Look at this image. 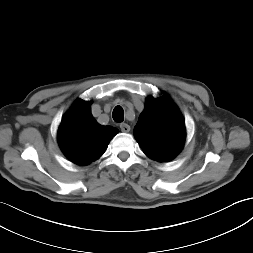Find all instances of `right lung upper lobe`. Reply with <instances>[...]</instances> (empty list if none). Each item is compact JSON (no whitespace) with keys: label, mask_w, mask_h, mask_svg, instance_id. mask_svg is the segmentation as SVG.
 Returning <instances> with one entry per match:
<instances>
[{"label":"right lung upper lobe","mask_w":253,"mask_h":253,"mask_svg":"<svg viewBox=\"0 0 253 253\" xmlns=\"http://www.w3.org/2000/svg\"><path fill=\"white\" fill-rule=\"evenodd\" d=\"M92 102L78 100L64 116L58 142L65 156L78 165L97 160L118 130L101 126L91 114Z\"/></svg>","instance_id":"obj_1"}]
</instances>
